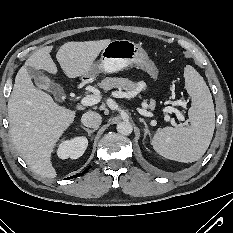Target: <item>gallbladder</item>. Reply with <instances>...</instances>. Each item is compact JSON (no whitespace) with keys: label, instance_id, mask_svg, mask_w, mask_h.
I'll return each mask as SVG.
<instances>
[{"label":"gallbladder","instance_id":"gallbladder-1","mask_svg":"<svg viewBox=\"0 0 233 233\" xmlns=\"http://www.w3.org/2000/svg\"><path fill=\"white\" fill-rule=\"evenodd\" d=\"M27 71L30 77L34 79L36 85L39 88L48 90L49 92L54 94L55 99L60 100L61 96L63 95V89L60 85L52 82L41 71L35 68L27 67Z\"/></svg>","mask_w":233,"mask_h":233}]
</instances>
